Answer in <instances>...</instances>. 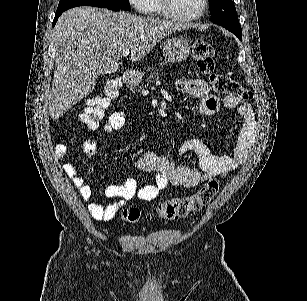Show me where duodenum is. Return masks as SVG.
Listing matches in <instances>:
<instances>
[{
	"instance_id": "410a0bca",
	"label": "duodenum",
	"mask_w": 307,
	"mask_h": 301,
	"mask_svg": "<svg viewBox=\"0 0 307 301\" xmlns=\"http://www.w3.org/2000/svg\"><path fill=\"white\" fill-rule=\"evenodd\" d=\"M124 79H125L126 83H128V84H132L135 80L133 74H131V73L125 74Z\"/></svg>"
}]
</instances>
